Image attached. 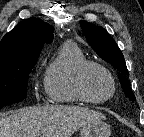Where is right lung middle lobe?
Here are the masks:
<instances>
[{"label": "right lung middle lobe", "instance_id": "1", "mask_svg": "<svg viewBox=\"0 0 144 137\" xmlns=\"http://www.w3.org/2000/svg\"><path fill=\"white\" fill-rule=\"evenodd\" d=\"M37 59L0 65V107L26 97L29 74Z\"/></svg>", "mask_w": 144, "mask_h": 137}]
</instances>
